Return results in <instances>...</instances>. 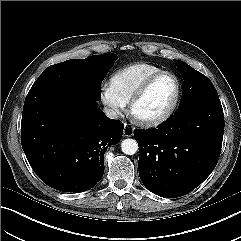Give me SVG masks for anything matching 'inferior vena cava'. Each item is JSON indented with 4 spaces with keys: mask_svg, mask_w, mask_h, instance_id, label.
I'll return each instance as SVG.
<instances>
[{
    "mask_svg": "<svg viewBox=\"0 0 241 241\" xmlns=\"http://www.w3.org/2000/svg\"><path fill=\"white\" fill-rule=\"evenodd\" d=\"M104 113L111 119H117L119 111L113 107H104Z\"/></svg>",
    "mask_w": 241,
    "mask_h": 241,
    "instance_id": "obj_1",
    "label": "inferior vena cava"
}]
</instances>
